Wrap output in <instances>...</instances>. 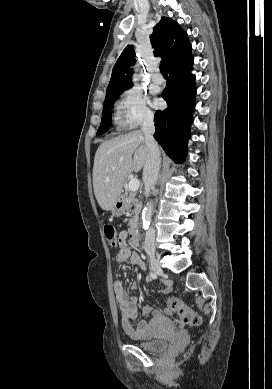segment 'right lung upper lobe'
<instances>
[{"mask_svg": "<svg viewBox=\"0 0 272 389\" xmlns=\"http://www.w3.org/2000/svg\"><path fill=\"white\" fill-rule=\"evenodd\" d=\"M150 39L155 56H162L168 69L191 56L192 48L186 32L178 23L168 17L161 18L160 22L153 28ZM133 48V45L126 46L118 58L112 71L106 96L132 87V73L129 68L136 61Z\"/></svg>", "mask_w": 272, "mask_h": 389, "instance_id": "cb5924a9", "label": "right lung upper lobe"}]
</instances>
